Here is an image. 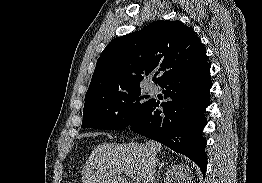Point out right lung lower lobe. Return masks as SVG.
Returning a JSON list of instances; mask_svg holds the SVG:
<instances>
[{
	"label": "right lung lower lobe",
	"mask_w": 262,
	"mask_h": 183,
	"mask_svg": "<svg viewBox=\"0 0 262 183\" xmlns=\"http://www.w3.org/2000/svg\"><path fill=\"white\" fill-rule=\"evenodd\" d=\"M211 65L173 75L161 83L165 90L161 103L154 99L132 123L130 129L168 146L193 160L205 174L206 139L202 130L206 125L202 112L209 105ZM162 107V109H158Z\"/></svg>",
	"instance_id": "obj_1"
}]
</instances>
